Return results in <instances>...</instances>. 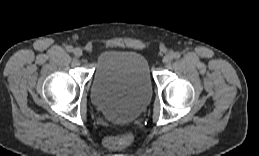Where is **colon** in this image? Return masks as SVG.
I'll return each instance as SVG.
<instances>
[{
  "mask_svg": "<svg viewBox=\"0 0 259 156\" xmlns=\"http://www.w3.org/2000/svg\"><path fill=\"white\" fill-rule=\"evenodd\" d=\"M133 139L134 136L131 132H124L120 135L107 137L104 144L109 149H119L130 145Z\"/></svg>",
  "mask_w": 259,
  "mask_h": 156,
  "instance_id": "1",
  "label": "colon"
}]
</instances>
